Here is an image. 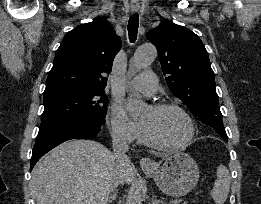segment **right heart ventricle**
Returning a JSON list of instances; mask_svg holds the SVG:
<instances>
[{"mask_svg":"<svg viewBox=\"0 0 261 204\" xmlns=\"http://www.w3.org/2000/svg\"><path fill=\"white\" fill-rule=\"evenodd\" d=\"M139 140H140L141 143H144V144L148 143L144 134H143V131H141V133H140Z\"/></svg>","mask_w":261,"mask_h":204,"instance_id":"right-heart-ventricle-1","label":"right heart ventricle"}]
</instances>
